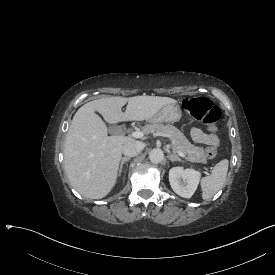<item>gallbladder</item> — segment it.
Here are the masks:
<instances>
[{
    "label": "gallbladder",
    "instance_id": "bac80fb5",
    "mask_svg": "<svg viewBox=\"0 0 275 275\" xmlns=\"http://www.w3.org/2000/svg\"><path fill=\"white\" fill-rule=\"evenodd\" d=\"M107 127H108V133L109 134H116L117 132L120 131V127H118L117 125H112L110 123H106Z\"/></svg>",
    "mask_w": 275,
    "mask_h": 275
}]
</instances>
